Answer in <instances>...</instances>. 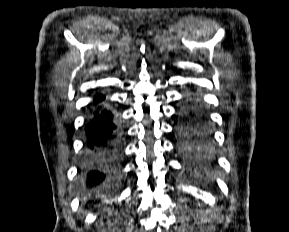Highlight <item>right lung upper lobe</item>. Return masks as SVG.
Segmentation results:
<instances>
[{
  "label": "right lung upper lobe",
  "instance_id": "cb5924a9",
  "mask_svg": "<svg viewBox=\"0 0 289 232\" xmlns=\"http://www.w3.org/2000/svg\"><path fill=\"white\" fill-rule=\"evenodd\" d=\"M100 96H103V95H97L96 97H100Z\"/></svg>",
  "mask_w": 289,
  "mask_h": 232
}]
</instances>
